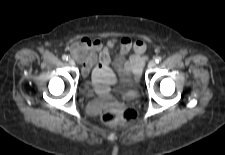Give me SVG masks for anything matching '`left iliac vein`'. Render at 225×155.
<instances>
[{"instance_id": "4c4485c4", "label": "left iliac vein", "mask_w": 225, "mask_h": 155, "mask_svg": "<svg viewBox=\"0 0 225 155\" xmlns=\"http://www.w3.org/2000/svg\"><path fill=\"white\" fill-rule=\"evenodd\" d=\"M156 66V62L154 60H151L149 63H148V68H154Z\"/></svg>"}]
</instances>
